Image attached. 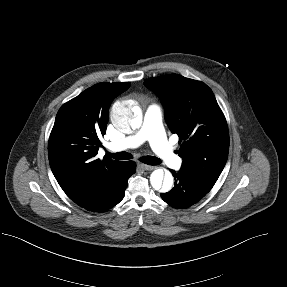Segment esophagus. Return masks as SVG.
Here are the masks:
<instances>
[{"instance_id": "esophagus-1", "label": "esophagus", "mask_w": 287, "mask_h": 287, "mask_svg": "<svg viewBox=\"0 0 287 287\" xmlns=\"http://www.w3.org/2000/svg\"><path fill=\"white\" fill-rule=\"evenodd\" d=\"M141 166L144 170H147V171H152V170L156 169L155 166H151V165L142 164Z\"/></svg>"}]
</instances>
